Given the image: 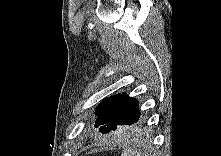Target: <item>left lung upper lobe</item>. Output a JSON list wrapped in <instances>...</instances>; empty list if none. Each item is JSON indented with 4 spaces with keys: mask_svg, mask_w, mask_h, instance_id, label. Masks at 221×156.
<instances>
[{
    "mask_svg": "<svg viewBox=\"0 0 221 156\" xmlns=\"http://www.w3.org/2000/svg\"><path fill=\"white\" fill-rule=\"evenodd\" d=\"M95 127L101 133H109L123 125L140 122L138 100L127 94H117L102 101L96 108Z\"/></svg>",
    "mask_w": 221,
    "mask_h": 156,
    "instance_id": "1",
    "label": "left lung upper lobe"
}]
</instances>
